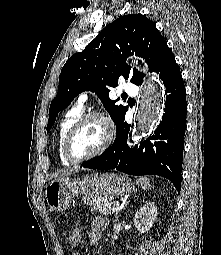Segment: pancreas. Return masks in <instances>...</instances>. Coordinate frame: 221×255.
I'll return each instance as SVG.
<instances>
[{
    "mask_svg": "<svg viewBox=\"0 0 221 255\" xmlns=\"http://www.w3.org/2000/svg\"><path fill=\"white\" fill-rule=\"evenodd\" d=\"M89 204L101 214L109 215L112 213L111 209L117 205V201H114L111 197H99L90 201Z\"/></svg>",
    "mask_w": 221,
    "mask_h": 255,
    "instance_id": "pancreas-1",
    "label": "pancreas"
}]
</instances>
